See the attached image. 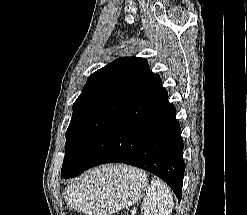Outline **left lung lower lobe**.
Instances as JSON below:
<instances>
[{"label": "left lung lower lobe", "instance_id": "0a47b994", "mask_svg": "<svg viewBox=\"0 0 247 215\" xmlns=\"http://www.w3.org/2000/svg\"><path fill=\"white\" fill-rule=\"evenodd\" d=\"M105 163H125L164 180L180 202L185 171L183 141L175 107L155 74L106 134L84 142L76 158L62 170L73 178Z\"/></svg>", "mask_w": 247, "mask_h": 215}]
</instances>
